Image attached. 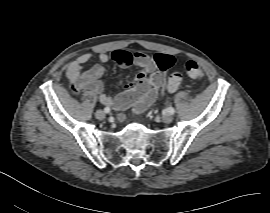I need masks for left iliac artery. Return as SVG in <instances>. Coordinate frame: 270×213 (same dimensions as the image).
Segmentation results:
<instances>
[{"label": "left iliac artery", "mask_w": 270, "mask_h": 213, "mask_svg": "<svg viewBox=\"0 0 270 213\" xmlns=\"http://www.w3.org/2000/svg\"><path fill=\"white\" fill-rule=\"evenodd\" d=\"M167 111H168V113L171 114V115H173V114L175 113V109H174L173 107H169V108L167 109Z\"/></svg>", "instance_id": "1"}]
</instances>
